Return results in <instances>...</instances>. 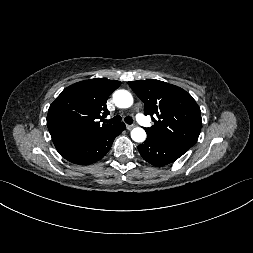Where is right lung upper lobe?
<instances>
[{
    "label": "right lung upper lobe",
    "instance_id": "1",
    "mask_svg": "<svg viewBox=\"0 0 253 253\" xmlns=\"http://www.w3.org/2000/svg\"><path fill=\"white\" fill-rule=\"evenodd\" d=\"M120 84V81L95 78L77 82L61 92L47 115L48 130L56 149L114 126L100 124L99 119L109 114L107 99Z\"/></svg>",
    "mask_w": 253,
    "mask_h": 253
}]
</instances>
